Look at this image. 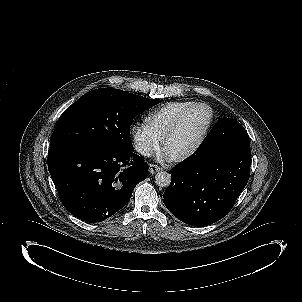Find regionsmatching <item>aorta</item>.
Segmentation results:
<instances>
[{"instance_id": "aorta-1", "label": "aorta", "mask_w": 302, "mask_h": 302, "mask_svg": "<svg viewBox=\"0 0 302 302\" xmlns=\"http://www.w3.org/2000/svg\"><path fill=\"white\" fill-rule=\"evenodd\" d=\"M171 182V176L165 171H160L155 176V183L159 187H167Z\"/></svg>"}]
</instances>
